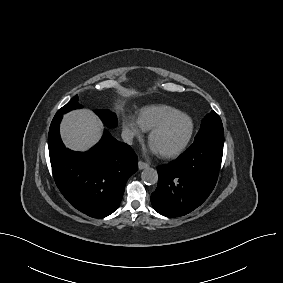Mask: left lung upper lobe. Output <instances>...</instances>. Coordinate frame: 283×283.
<instances>
[{"mask_svg": "<svg viewBox=\"0 0 283 283\" xmlns=\"http://www.w3.org/2000/svg\"><path fill=\"white\" fill-rule=\"evenodd\" d=\"M200 139L214 140L224 143V130L222 121L217 113L211 111L202 120L201 127L194 141Z\"/></svg>", "mask_w": 283, "mask_h": 283, "instance_id": "5c2ea615", "label": "left lung upper lobe"}]
</instances>
